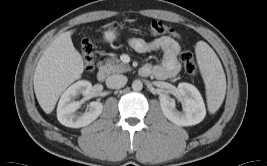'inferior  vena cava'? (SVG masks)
Listing matches in <instances>:
<instances>
[{
    "mask_svg": "<svg viewBox=\"0 0 267 166\" xmlns=\"http://www.w3.org/2000/svg\"><path fill=\"white\" fill-rule=\"evenodd\" d=\"M127 80L128 79L126 76L115 74V75L109 76L106 79V85L109 88L117 89V88H121V87L125 86L127 83Z\"/></svg>",
    "mask_w": 267,
    "mask_h": 166,
    "instance_id": "602c4592",
    "label": "inferior vena cava"
}]
</instances>
